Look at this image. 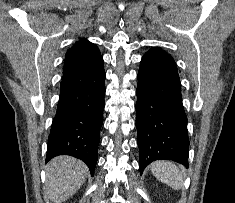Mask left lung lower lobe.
Segmentation results:
<instances>
[{
	"label": "left lung lower lobe",
	"instance_id": "0a47b994",
	"mask_svg": "<svg viewBox=\"0 0 235 203\" xmlns=\"http://www.w3.org/2000/svg\"><path fill=\"white\" fill-rule=\"evenodd\" d=\"M136 114L140 172L160 159L188 168L187 117L178 70L172 56L159 48L149 50L141 60Z\"/></svg>",
	"mask_w": 235,
	"mask_h": 203
}]
</instances>
